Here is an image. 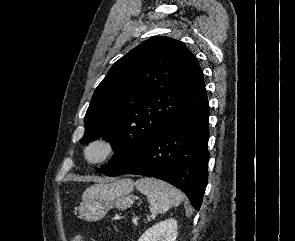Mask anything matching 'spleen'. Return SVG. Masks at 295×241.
<instances>
[{
  "mask_svg": "<svg viewBox=\"0 0 295 241\" xmlns=\"http://www.w3.org/2000/svg\"><path fill=\"white\" fill-rule=\"evenodd\" d=\"M137 190L147 196L150 211L154 214L167 212L183 200L182 193L170 184L155 178H141L135 182Z\"/></svg>",
  "mask_w": 295,
  "mask_h": 241,
  "instance_id": "spleen-1",
  "label": "spleen"
}]
</instances>
